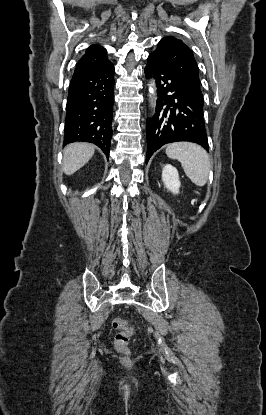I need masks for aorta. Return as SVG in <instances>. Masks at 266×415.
<instances>
[{"mask_svg": "<svg viewBox=\"0 0 266 415\" xmlns=\"http://www.w3.org/2000/svg\"><path fill=\"white\" fill-rule=\"evenodd\" d=\"M155 92H156L155 83L153 81H151V83L149 85V93H150V97H151V105L153 107L155 106V101L153 99V96H155Z\"/></svg>", "mask_w": 266, "mask_h": 415, "instance_id": "1", "label": "aorta"}]
</instances>
